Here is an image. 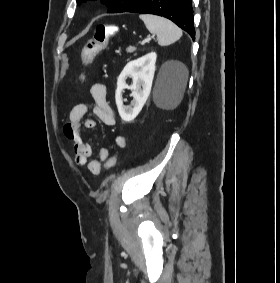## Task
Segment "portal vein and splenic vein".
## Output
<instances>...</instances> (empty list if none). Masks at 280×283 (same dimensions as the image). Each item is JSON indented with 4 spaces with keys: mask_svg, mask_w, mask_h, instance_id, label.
<instances>
[{
    "mask_svg": "<svg viewBox=\"0 0 280 283\" xmlns=\"http://www.w3.org/2000/svg\"><path fill=\"white\" fill-rule=\"evenodd\" d=\"M149 40H151V37H147L146 39H144V40L141 42V44H144V43L148 42Z\"/></svg>",
    "mask_w": 280,
    "mask_h": 283,
    "instance_id": "portal-vein-and-splenic-vein-1",
    "label": "portal vein and splenic vein"
}]
</instances>
